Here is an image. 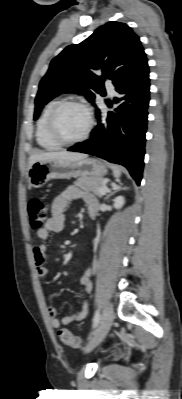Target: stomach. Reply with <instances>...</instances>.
<instances>
[{
    "instance_id": "0dacf381",
    "label": "stomach",
    "mask_w": 182,
    "mask_h": 399,
    "mask_svg": "<svg viewBox=\"0 0 182 399\" xmlns=\"http://www.w3.org/2000/svg\"><path fill=\"white\" fill-rule=\"evenodd\" d=\"M106 173V165L95 158L86 157L77 161L48 159L33 163L28 169L27 179L31 187L40 188L51 179L101 178Z\"/></svg>"
}]
</instances>
